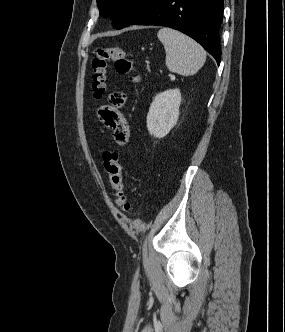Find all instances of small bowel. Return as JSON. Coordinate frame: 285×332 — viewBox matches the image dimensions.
Listing matches in <instances>:
<instances>
[{"label": "small bowel", "mask_w": 285, "mask_h": 332, "mask_svg": "<svg viewBox=\"0 0 285 332\" xmlns=\"http://www.w3.org/2000/svg\"><path fill=\"white\" fill-rule=\"evenodd\" d=\"M111 103L100 107L98 117L102 124L112 131L113 139L119 146L127 144L130 129L121 108L126 102V95L115 92L110 96Z\"/></svg>", "instance_id": "1"}]
</instances>
